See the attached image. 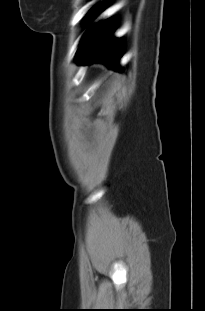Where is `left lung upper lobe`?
Here are the masks:
<instances>
[{
    "label": "left lung upper lobe",
    "mask_w": 205,
    "mask_h": 311,
    "mask_svg": "<svg viewBox=\"0 0 205 311\" xmlns=\"http://www.w3.org/2000/svg\"><path fill=\"white\" fill-rule=\"evenodd\" d=\"M110 2V0H104L98 4H96L94 7H92L89 11L90 15L94 16V15H97L100 11H102L106 6L107 4ZM107 22V20L101 22V23H98V24H95L94 26H92L85 34L82 42L87 39L89 36H91L95 31H97L103 24H105Z\"/></svg>",
    "instance_id": "left-lung-upper-lobe-1"
}]
</instances>
